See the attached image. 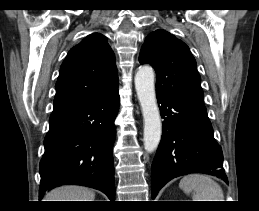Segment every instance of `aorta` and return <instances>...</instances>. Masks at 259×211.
<instances>
[{"label": "aorta", "instance_id": "aorta-1", "mask_svg": "<svg viewBox=\"0 0 259 211\" xmlns=\"http://www.w3.org/2000/svg\"><path fill=\"white\" fill-rule=\"evenodd\" d=\"M135 89L144 120V148L151 153L157 149L162 134L160 111L155 94V74L151 67L138 68L135 75Z\"/></svg>", "mask_w": 259, "mask_h": 211}]
</instances>
